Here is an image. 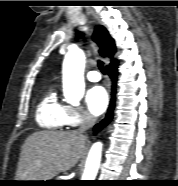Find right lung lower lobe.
<instances>
[{
  "label": "right lung lower lobe",
  "mask_w": 178,
  "mask_h": 186,
  "mask_svg": "<svg viewBox=\"0 0 178 186\" xmlns=\"http://www.w3.org/2000/svg\"><path fill=\"white\" fill-rule=\"evenodd\" d=\"M106 72L112 80L113 87H115L116 82H117V65L106 67ZM112 95L113 96H112L111 101H110V105H109V108H108V112L106 114V118L100 124L95 126V128H94L95 131H98L102 126L108 124L113 117V110H114V107H115V96H114L115 95V89H113V94Z\"/></svg>",
  "instance_id": "right-lung-lower-lobe-1"
}]
</instances>
